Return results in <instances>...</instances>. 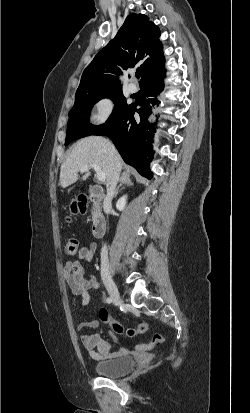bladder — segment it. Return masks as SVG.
I'll list each match as a JSON object with an SVG mask.
<instances>
[{
	"instance_id": "obj_1",
	"label": "bladder",
	"mask_w": 250,
	"mask_h": 413,
	"mask_svg": "<svg viewBox=\"0 0 250 413\" xmlns=\"http://www.w3.org/2000/svg\"><path fill=\"white\" fill-rule=\"evenodd\" d=\"M134 366L135 358L133 356L121 355L96 364L94 370L98 375L104 377H118L131 371Z\"/></svg>"
}]
</instances>
